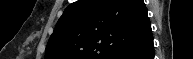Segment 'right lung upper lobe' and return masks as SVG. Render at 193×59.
I'll return each instance as SVG.
<instances>
[{
    "label": "right lung upper lobe",
    "instance_id": "right-lung-upper-lobe-1",
    "mask_svg": "<svg viewBox=\"0 0 193 59\" xmlns=\"http://www.w3.org/2000/svg\"><path fill=\"white\" fill-rule=\"evenodd\" d=\"M150 33L143 0H78L58 20L45 59H115Z\"/></svg>",
    "mask_w": 193,
    "mask_h": 59
}]
</instances>
